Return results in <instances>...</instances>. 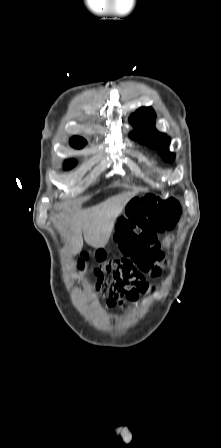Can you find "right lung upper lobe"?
Instances as JSON below:
<instances>
[{
  "label": "right lung upper lobe",
  "mask_w": 221,
  "mask_h": 448,
  "mask_svg": "<svg viewBox=\"0 0 221 448\" xmlns=\"http://www.w3.org/2000/svg\"><path fill=\"white\" fill-rule=\"evenodd\" d=\"M70 144L75 148H82L86 144V141L81 137L75 136L70 140Z\"/></svg>",
  "instance_id": "obj_1"
}]
</instances>
